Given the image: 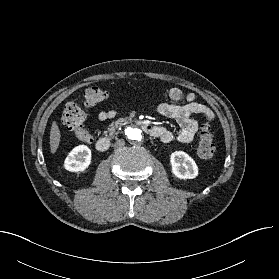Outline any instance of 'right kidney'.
<instances>
[{
	"instance_id": "right-kidney-1",
	"label": "right kidney",
	"mask_w": 279,
	"mask_h": 279,
	"mask_svg": "<svg viewBox=\"0 0 279 279\" xmlns=\"http://www.w3.org/2000/svg\"><path fill=\"white\" fill-rule=\"evenodd\" d=\"M91 163V150L86 145L75 147L64 162V168L71 172H83Z\"/></svg>"
}]
</instances>
